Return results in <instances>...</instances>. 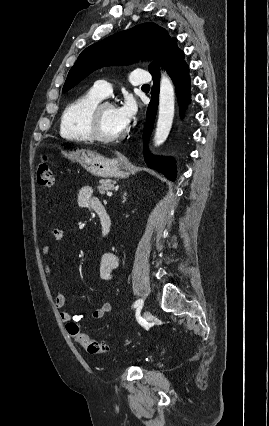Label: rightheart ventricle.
Listing matches in <instances>:
<instances>
[{
	"instance_id": "e07e8e85",
	"label": "right heart ventricle",
	"mask_w": 269,
	"mask_h": 426,
	"mask_svg": "<svg viewBox=\"0 0 269 426\" xmlns=\"http://www.w3.org/2000/svg\"><path fill=\"white\" fill-rule=\"evenodd\" d=\"M101 100L102 97L90 90L68 104L61 117V135L68 140L79 142L92 140L88 117L91 109Z\"/></svg>"
}]
</instances>
